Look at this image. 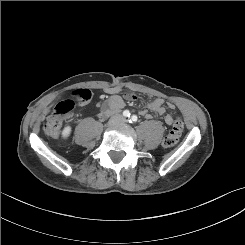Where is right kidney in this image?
<instances>
[{"label": "right kidney", "instance_id": "right-kidney-1", "mask_svg": "<svg viewBox=\"0 0 245 245\" xmlns=\"http://www.w3.org/2000/svg\"><path fill=\"white\" fill-rule=\"evenodd\" d=\"M71 131H72L71 127H70V126H66V127L62 130V132H61V137H62L63 139H67V138L70 136Z\"/></svg>", "mask_w": 245, "mask_h": 245}]
</instances>
